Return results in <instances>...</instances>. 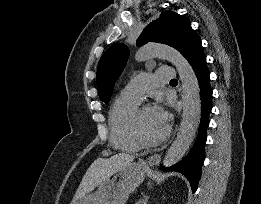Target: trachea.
Wrapping results in <instances>:
<instances>
[{"label": "trachea", "mask_w": 261, "mask_h": 204, "mask_svg": "<svg viewBox=\"0 0 261 204\" xmlns=\"http://www.w3.org/2000/svg\"><path fill=\"white\" fill-rule=\"evenodd\" d=\"M171 81H176V79H172Z\"/></svg>", "instance_id": "1"}]
</instances>
